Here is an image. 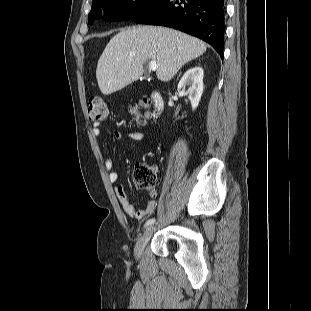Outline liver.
<instances>
[{
  "mask_svg": "<svg viewBox=\"0 0 311 311\" xmlns=\"http://www.w3.org/2000/svg\"><path fill=\"white\" fill-rule=\"evenodd\" d=\"M206 49L200 39L166 27L123 29L109 41L98 60V86L104 95L123 89L140 78L148 60L157 63L159 80L170 81L182 66Z\"/></svg>",
  "mask_w": 311,
  "mask_h": 311,
  "instance_id": "obj_1",
  "label": "liver"
}]
</instances>
